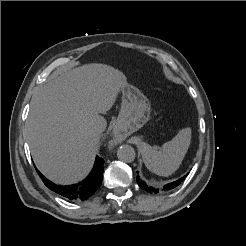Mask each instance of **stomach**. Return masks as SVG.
<instances>
[{"mask_svg":"<svg viewBox=\"0 0 246 246\" xmlns=\"http://www.w3.org/2000/svg\"><path fill=\"white\" fill-rule=\"evenodd\" d=\"M150 116V102L136 87L126 85L122 89L121 110L117 119L120 132L131 134L143 127Z\"/></svg>","mask_w":246,"mask_h":246,"instance_id":"1","label":"stomach"}]
</instances>
